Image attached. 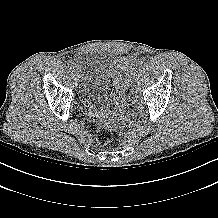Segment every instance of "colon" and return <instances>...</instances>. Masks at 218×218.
<instances>
[{"label":"colon","mask_w":218,"mask_h":218,"mask_svg":"<svg viewBox=\"0 0 218 218\" xmlns=\"http://www.w3.org/2000/svg\"><path fill=\"white\" fill-rule=\"evenodd\" d=\"M95 128V139L98 144L105 145L113 139V131L104 120L98 118L95 121Z\"/></svg>","instance_id":"1"}]
</instances>
